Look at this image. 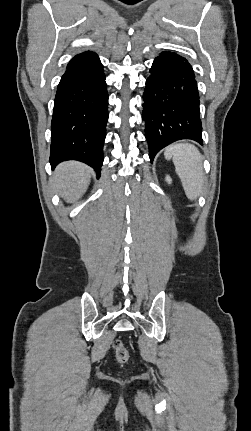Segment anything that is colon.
I'll return each mask as SVG.
<instances>
[{
  "label": "colon",
  "mask_w": 251,
  "mask_h": 431,
  "mask_svg": "<svg viewBox=\"0 0 251 431\" xmlns=\"http://www.w3.org/2000/svg\"><path fill=\"white\" fill-rule=\"evenodd\" d=\"M116 359L119 363H127L130 359V354L121 340H116L113 343Z\"/></svg>",
  "instance_id": "colon-1"
}]
</instances>
